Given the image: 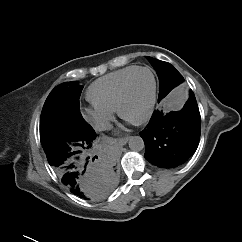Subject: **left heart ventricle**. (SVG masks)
I'll return each instance as SVG.
<instances>
[{
    "instance_id": "obj_1",
    "label": "left heart ventricle",
    "mask_w": 242,
    "mask_h": 242,
    "mask_svg": "<svg viewBox=\"0 0 242 242\" xmlns=\"http://www.w3.org/2000/svg\"><path fill=\"white\" fill-rule=\"evenodd\" d=\"M153 88L152 77L147 71H140L130 82L123 113L129 120H137L144 115L150 102Z\"/></svg>"
}]
</instances>
